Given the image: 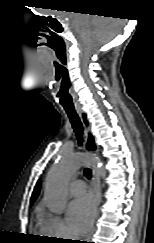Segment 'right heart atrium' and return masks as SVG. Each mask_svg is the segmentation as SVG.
Returning <instances> with one entry per match:
<instances>
[{
    "instance_id": "1",
    "label": "right heart atrium",
    "mask_w": 154,
    "mask_h": 243,
    "mask_svg": "<svg viewBox=\"0 0 154 243\" xmlns=\"http://www.w3.org/2000/svg\"><path fill=\"white\" fill-rule=\"evenodd\" d=\"M41 226L53 238L65 239L73 237L66 222L56 214L44 213Z\"/></svg>"
}]
</instances>
